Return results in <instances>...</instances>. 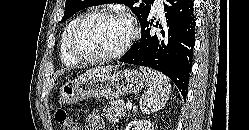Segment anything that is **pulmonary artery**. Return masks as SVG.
<instances>
[{"instance_id": "obj_1", "label": "pulmonary artery", "mask_w": 249, "mask_h": 130, "mask_svg": "<svg viewBox=\"0 0 249 130\" xmlns=\"http://www.w3.org/2000/svg\"><path fill=\"white\" fill-rule=\"evenodd\" d=\"M154 9L159 13L163 14V0L154 1Z\"/></svg>"}]
</instances>
